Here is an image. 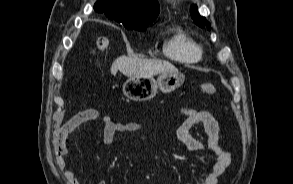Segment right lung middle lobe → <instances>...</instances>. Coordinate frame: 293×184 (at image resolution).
Returning a JSON list of instances; mask_svg holds the SVG:
<instances>
[{
	"instance_id": "dd1d6c3e",
	"label": "right lung middle lobe",
	"mask_w": 293,
	"mask_h": 184,
	"mask_svg": "<svg viewBox=\"0 0 293 184\" xmlns=\"http://www.w3.org/2000/svg\"><path fill=\"white\" fill-rule=\"evenodd\" d=\"M126 29L128 30H138V31H144L146 30L147 24H129L124 25Z\"/></svg>"
}]
</instances>
